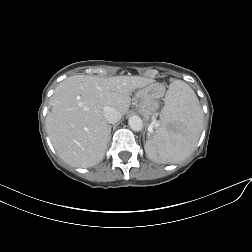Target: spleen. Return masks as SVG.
Here are the masks:
<instances>
[{"label": "spleen", "mask_w": 252, "mask_h": 252, "mask_svg": "<svg viewBox=\"0 0 252 252\" xmlns=\"http://www.w3.org/2000/svg\"><path fill=\"white\" fill-rule=\"evenodd\" d=\"M162 124L146 142L150 159L159 163H176L195 149L203 126V113L194 91L183 81H173L165 96ZM171 125L174 130H168Z\"/></svg>", "instance_id": "spleen-1"}]
</instances>
